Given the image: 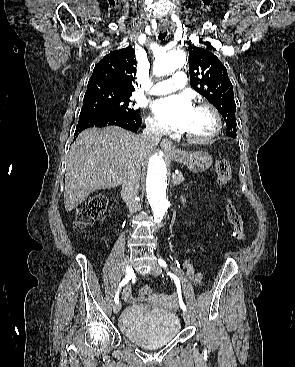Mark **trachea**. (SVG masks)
I'll return each instance as SVG.
<instances>
[{"label":"trachea","instance_id":"obj_1","mask_svg":"<svg viewBox=\"0 0 295 367\" xmlns=\"http://www.w3.org/2000/svg\"><path fill=\"white\" fill-rule=\"evenodd\" d=\"M166 36H167V31L160 32V33H159V36H158V39H159V40H162V39H164Z\"/></svg>","mask_w":295,"mask_h":367}]
</instances>
